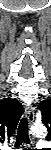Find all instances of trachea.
Instances as JSON below:
<instances>
[{
	"instance_id": "obj_1",
	"label": "trachea",
	"mask_w": 51,
	"mask_h": 150,
	"mask_svg": "<svg viewBox=\"0 0 51 150\" xmlns=\"http://www.w3.org/2000/svg\"><path fill=\"white\" fill-rule=\"evenodd\" d=\"M22 143H27V144L30 143L28 137V121L26 117L22 118L19 123L15 146L18 147Z\"/></svg>"
}]
</instances>
